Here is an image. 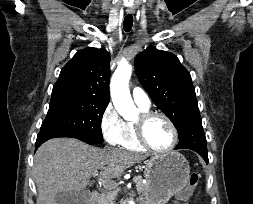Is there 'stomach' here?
Wrapping results in <instances>:
<instances>
[{"label": "stomach", "instance_id": "obj_1", "mask_svg": "<svg viewBox=\"0 0 253 204\" xmlns=\"http://www.w3.org/2000/svg\"><path fill=\"white\" fill-rule=\"evenodd\" d=\"M190 166L178 152L157 155L145 162L144 177L149 191L144 195L148 204H166L184 189L189 181Z\"/></svg>", "mask_w": 253, "mask_h": 204}]
</instances>
